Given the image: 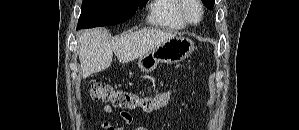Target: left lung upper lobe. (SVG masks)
<instances>
[{
  "label": "left lung upper lobe",
  "mask_w": 299,
  "mask_h": 130,
  "mask_svg": "<svg viewBox=\"0 0 299 130\" xmlns=\"http://www.w3.org/2000/svg\"><path fill=\"white\" fill-rule=\"evenodd\" d=\"M202 1H203L204 5H205L208 9H210V10L213 9V6H214V0H202Z\"/></svg>",
  "instance_id": "1"
}]
</instances>
